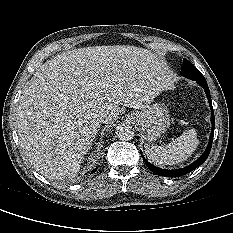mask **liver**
<instances>
[{
  "label": "liver",
  "mask_w": 233,
  "mask_h": 233,
  "mask_svg": "<svg viewBox=\"0 0 233 233\" xmlns=\"http://www.w3.org/2000/svg\"><path fill=\"white\" fill-rule=\"evenodd\" d=\"M171 86L149 50L109 45L74 49L48 60L22 92L17 127L33 168L48 179L74 178L103 116L111 123L120 105L144 109Z\"/></svg>",
  "instance_id": "1"
}]
</instances>
